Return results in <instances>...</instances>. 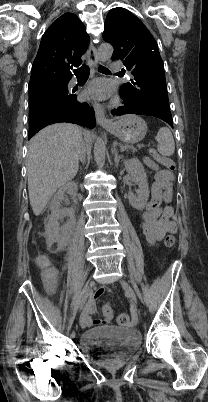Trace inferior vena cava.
Returning <instances> with one entry per match:
<instances>
[{
	"instance_id": "obj_1",
	"label": "inferior vena cava",
	"mask_w": 208,
	"mask_h": 402,
	"mask_svg": "<svg viewBox=\"0 0 208 402\" xmlns=\"http://www.w3.org/2000/svg\"><path fill=\"white\" fill-rule=\"evenodd\" d=\"M85 158V144L84 142H82L81 146H80V150H79V160H81V162H83Z\"/></svg>"
}]
</instances>
